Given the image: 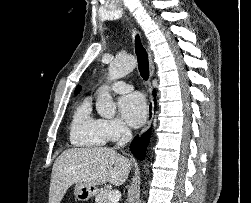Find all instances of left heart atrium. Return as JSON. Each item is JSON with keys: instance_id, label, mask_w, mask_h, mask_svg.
Returning a JSON list of instances; mask_svg holds the SVG:
<instances>
[{"instance_id": "left-heart-atrium-1", "label": "left heart atrium", "mask_w": 251, "mask_h": 203, "mask_svg": "<svg viewBox=\"0 0 251 203\" xmlns=\"http://www.w3.org/2000/svg\"><path fill=\"white\" fill-rule=\"evenodd\" d=\"M119 109L122 116L133 127L141 126L147 116V107L144 97L139 93L123 96L119 100Z\"/></svg>"}]
</instances>
